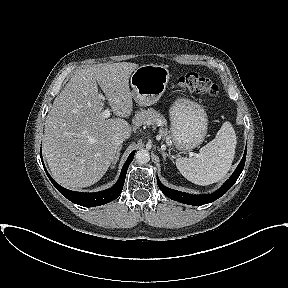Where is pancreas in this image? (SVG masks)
<instances>
[{"mask_svg": "<svg viewBox=\"0 0 288 288\" xmlns=\"http://www.w3.org/2000/svg\"><path fill=\"white\" fill-rule=\"evenodd\" d=\"M132 122L137 127L142 125L160 126V135L164 137L168 135V131L165 128L167 124L166 119L158 111H155L152 108L147 110L140 109V111H137Z\"/></svg>", "mask_w": 288, "mask_h": 288, "instance_id": "1", "label": "pancreas"}]
</instances>
